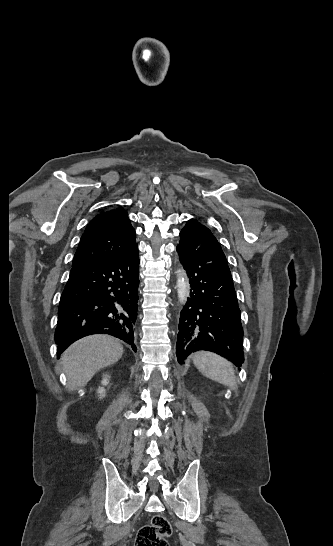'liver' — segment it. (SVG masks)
I'll return each instance as SVG.
<instances>
[{"label":"liver","mask_w":333,"mask_h":546,"mask_svg":"<svg viewBox=\"0 0 333 546\" xmlns=\"http://www.w3.org/2000/svg\"><path fill=\"white\" fill-rule=\"evenodd\" d=\"M123 351L119 341L107 335L88 336L72 344L61 357L68 388L86 386L97 371L116 363Z\"/></svg>","instance_id":"liver-1"}]
</instances>
